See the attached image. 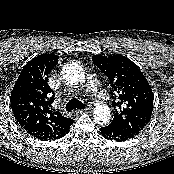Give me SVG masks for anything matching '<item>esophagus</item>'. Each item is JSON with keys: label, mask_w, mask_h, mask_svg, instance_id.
<instances>
[{"label": "esophagus", "mask_w": 174, "mask_h": 174, "mask_svg": "<svg viewBox=\"0 0 174 174\" xmlns=\"http://www.w3.org/2000/svg\"><path fill=\"white\" fill-rule=\"evenodd\" d=\"M91 109L90 106L86 107L85 109L79 110L80 113L87 112Z\"/></svg>", "instance_id": "obj_1"}]
</instances>
